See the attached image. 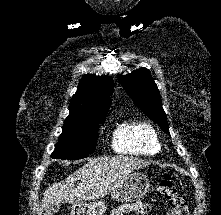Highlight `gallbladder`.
Masks as SVG:
<instances>
[{
	"instance_id": "bac80fb5",
	"label": "gallbladder",
	"mask_w": 221,
	"mask_h": 215,
	"mask_svg": "<svg viewBox=\"0 0 221 215\" xmlns=\"http://www.w3.org/2000/svg\"><path fill=\"white\" fill-rule=\"evenodd\" d=\"M60 209L59 203H50L45 208L46 214L45 215H54L56 212H58Z\"/></svg>"
}]
</instances>
